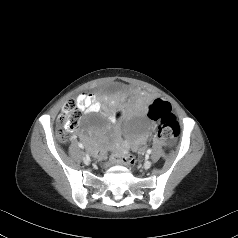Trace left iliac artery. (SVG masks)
I'll return each instance as SVG.
<instances>
[{
  "label": "left iliac artery",
  "mask_w": 238,
  "mask_h": 238,
  "mask_svg": "<svg viewBox=\"0 0 238 238\" xmlns=\"http://www.w3.org/2000/svg\"><path fill=\"white\" fill-rule=\"evenodd\" d=\"M151 152H152V149H148V150H147V154H148V155L151 154Z\"/></svg>",
  "instance_id": "1"
}]
</instances>
